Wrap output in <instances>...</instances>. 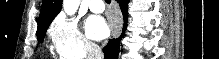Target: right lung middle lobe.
I'll return each instance as SVG.
<instances>
[{
    "label": "right lung middle lobe",
    "instance_id": "right-lung-middle-lobe-1",
    "mask_svg": "<svg viewBox=\"0 0 219 59\" xmlns=\"http://www.w3.org/2000/svg\"><path fill=\"white\" fill-rule=\"evenodd\" d=\"M47 28H48V26H44V27H41V28L37 29V33L36 34H37V40L39 42L43 41L45 33L47 31Z\"/></svg>",
    "mask_w": 219,
    "mask_h": 59
}]
</instances>
